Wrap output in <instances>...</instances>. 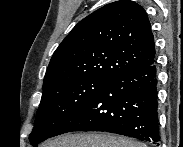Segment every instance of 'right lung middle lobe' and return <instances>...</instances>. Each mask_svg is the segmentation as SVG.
I'll use <instances>...</instances> for the list:
<instances>
[{
	"label": "right lung middle lobe",
	"mask_w": 183,
	"mask_h": 147,
	"mask_svg": "<svg viewBox=\"0 0 183 147\" xmlns=\"http://www.w3.org/2000/svg\"><path fill=\"white\" fill-rule=\"evenodd\" d=\"M109 80L84 78L43 88L35 124L30 134L32 146L53 136L59 126L86 103Z\"/></svg>",
	"instance_id": "1"
}]
</instances>
